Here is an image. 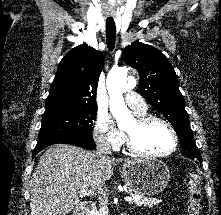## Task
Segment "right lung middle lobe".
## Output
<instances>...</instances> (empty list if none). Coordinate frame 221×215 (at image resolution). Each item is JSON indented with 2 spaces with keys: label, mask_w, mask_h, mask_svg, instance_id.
<instances>
[{
  "label": "right lung middle lobe",
  "mask_w": 221,
  "mask_h": 215,
  "mask_svg": "<svg viewBox=\"0 0 221 215\" xmlns=\"http://www.w3.org/2000/svg\"><path fill=\"white\" fill-rule=\"evenodd\" d=\"M97 108H74L42 115L38 140L91 133Z\"/></svg>",
  "instance_id": "dd1d6c3e"
}]
</instances>
